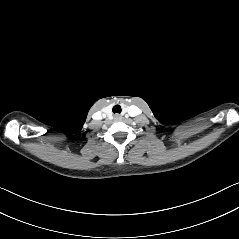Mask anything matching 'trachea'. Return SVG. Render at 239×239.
Instances as JSON below:
<instances>
[{
    "label": "trachea",
    "mask_w": 239,
    "mask_h": 239,
    "mask_svg": "<svg viewBox=\"0 0 239 239\" xmlns=\"http://www.w3.org/2000/svg\"><path fill=\"white\" fill-rule=\"evenodd\" d=\"M113 113H121L120 105H115L112 109Z\"/></svg>",
    "instance_id": "obj_1"
}]
</instances>
